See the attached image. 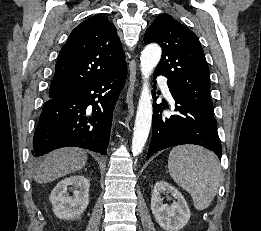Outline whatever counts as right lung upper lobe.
I'll list each match as a JSON object with an SVG mask.
<instances>
[{
    "mask_svg": "<svg viewBox=\"0 0 261 231\" xmlns=\"http://www.w3.org/2000/svg\"><path fill=\"white\" fill-rule=\"evenodd\" d=\"M126 65L113 23L93 16L79 24L62 47L50 85L51 99L78 91Z\"/></svg>",
    "mask_w": 261,
    "mask_h": 231,
    "instance_id": "1",
    "label": "right lung upper lobe"
}]
</instances>
